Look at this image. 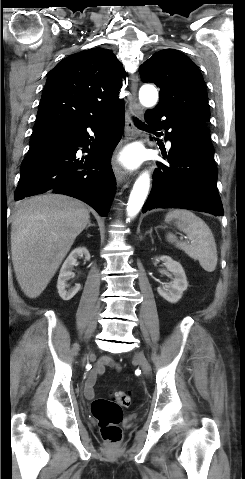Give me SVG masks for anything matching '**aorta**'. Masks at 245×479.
Instances as JSON below:
<instances>
[{
	"label": "aorta",
	"mask_w": 245,
	"mask_h": 479,
	"mask_svg": "<svg viewBox=\"0 0 245 479\" xmlns=\"http://www.w3.org/2000/svg\"><path fill=\"white\" fill-rule=\"evenodd\" d=\"M139 99L143 106L152 107L157 103L158 92L155 87L145 85L139 91ZM150 187V177L148 172L142 173L136 180L127 203V215L129 218L135 217L141 210Z\"/></svg>",
	"instance_id": "aorta-1"
}]
</instances>
